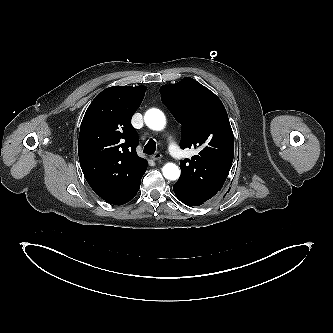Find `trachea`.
Returning <instances> with one entry per match:
<instances>
[{"label":"trachea","mask_w":333,"mask_h":333,"mask_svg":"<svg viewBox=\"0 0 333 333\" xmlns=\"http://www.w3.org/2000/svg\"><path fill=\"white\" fill-rule=\"evenodd\" d=\"M155 150H156V142L150 139L145 145L143 152L148 155H151L154 154Z\"/></svg>","instance_id":"3493384b"}]
</instances>
